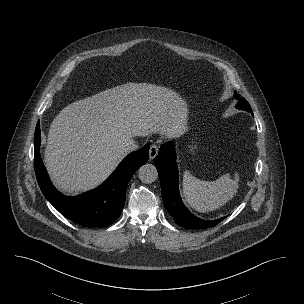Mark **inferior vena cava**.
<instances>
[{
    "label": "inferior vena cava",
    "mask_w": 304,
    "mask_h": 304,
    "mask_svg": "<svg viewBox=\"0 0 304 304\" xmlns=\"http://www.w3.org/2000/svg\"><path fill=\"white\" fill-rule=\"evenodd\" d=\"M138 148L139 145L133 139H129L128 141L125 142V149L127 152L137 150Z\"/></svg>",
    "instance_id": "inferior-vena-cava-1"
}]
</instances>
